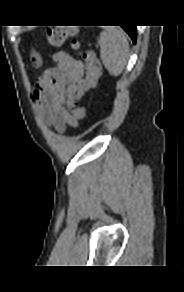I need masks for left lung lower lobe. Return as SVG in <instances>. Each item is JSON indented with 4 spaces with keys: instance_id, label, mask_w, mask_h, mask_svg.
Here are the masks:
<instances>
[{
    "instance_id": "obj_1",
    "label": "left lung lower lobe",
    "mask_w": 184,
    "mask_h": 292,
    "mask_svg": "<svg viewBox=\"0 0 184 292\" xmlns=\"http://www.w3.org/2000/svg\"><path fill=\"white\" fill-rule=\"evenodd\" d=\"M123 29L129 34L133 42H136V26H122Z\"/></svg>"
}]
</instances>
